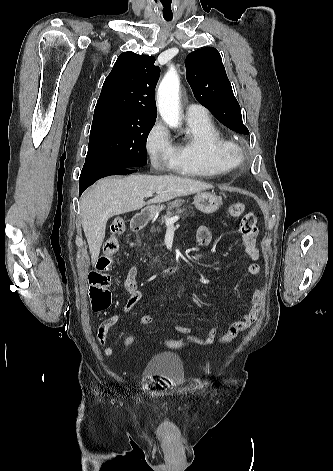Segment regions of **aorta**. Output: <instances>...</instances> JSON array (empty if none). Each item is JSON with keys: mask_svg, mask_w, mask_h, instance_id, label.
Returning a JSON list of instances; mask_svg holds the SVG:
<instances>
[{"mask_svg": "<svg viewBox=\"0 0 333 471\" xmlns=\"http://www.w3.org/2000/svg\"><path fill=\"white\" fill-rule=\"evenodd\" d=\"M179 88V76L176 70L171 68L159 85L157 102L162 119L174 129L180 126Z\"/></svg>", "mask_w": 333, "mask_h": 471, "instance_id": "1", "label": "aorta"}]
</instances>
